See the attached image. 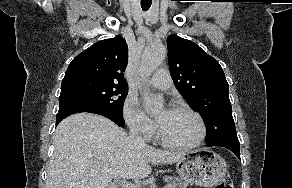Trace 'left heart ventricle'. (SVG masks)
Instances as JSON below:
<instances>
[{
    "instance_id": "b2bd125f",
    "label": "left heart ventricle",
    "mask_w": 292,
    "mask_h": 188,
    "mask_svg": "<svg viewBox=\"0 0 292 188\" xmlns=\"http://www.w3.org/2000/svg\"><path fill=\"white\" fill-rule=\"evenodd\" d=\"M156 120L161 134L174 143L193 142L200 133L197 119L185 111L162 109L157 112Z\"/></svg>"
}]
</instances>
